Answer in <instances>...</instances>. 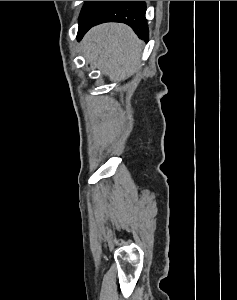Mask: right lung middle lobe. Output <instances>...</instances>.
I'll return each mask as SVG.
<instances>
[{"mask_svg":"<svg viewBox=\"0 0 237 300\" xmlns=\"http://www.w3.org/2000/svg\"><path fill=\"white\" fill-rule=\"evenodd\" d=\"M115 1H85L79 17V30L97 21Z\"/></svg>","mask_w":237,"mask_h":300,"instance_id":"obj_1","label":"right lung middle lobe"}]
</instances>
